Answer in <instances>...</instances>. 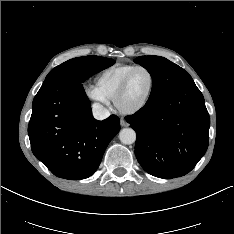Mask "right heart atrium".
Returning <instances> with one entry per match:
<instances>
[{"instance_id": "obj_1", "label": "right heart atrium", "mask_w": 234, "mask_h": 234, "mask_svg": "<svg viewBox=\"0 0 234 234\" xmlns=\"http://www.w3.org/2000/svg\"><path fill=\"white\" fill-rule=\"evenodd\" d=\"M86 95L96 101L99 102L103 105H108L109 104V100L107 98H105L100 91L97 89L96 86H90L86 89Z\"/></svg>"}]
</instances>
